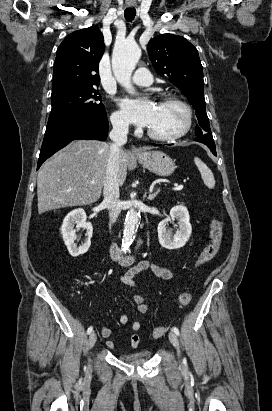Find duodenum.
<instances>
[{
	"mask_svg": "<svg viewBox=\"0 0 272 411\" xmlns=\"http://www.w3.org/2000/svg\"><path fill=\"white\" fill-rule=\"evenodd\" d=\"M143 246V238L142 236L139 237L135 243L133 250L130 253L123 254L120 252V249L117 246H113L111 248V256L114 260H116L121 265H131L133 264L138 254L140 253Z\"/></svg>",
	"mask_w": 272,
	"mask_h": 411,
	"instance_id": "410a0bca",
	"label": "duodenum"
}]
</instances>
